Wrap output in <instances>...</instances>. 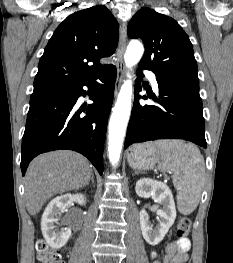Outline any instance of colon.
Masks as SVG:
<instances>
[{
    "mask_svg": "<svg viewBox=\"0 0 233 263\" xmlns=\"http://www.w3.org/2000/svg\"><path fill=\"white\" fill-rule=\"evenodd\" d=\"M191 230V221L188 217H181L177 225V234L181 238H186ZM36 257L38 263H63L61 253L58 249L51 248L40 239L36 243Z\"/></svg>",
    "mask_w": 233,
    "mask_h": 263,
    "instance_id": "obj_1",
    "label": "colon"
}]
</instances>
